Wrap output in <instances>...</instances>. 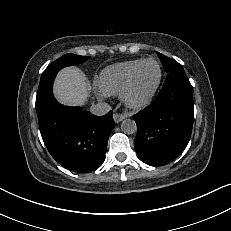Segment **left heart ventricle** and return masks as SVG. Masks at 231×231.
Instances as JSON below:
<instances>
[{
	"mask_svg": "<svg viewBox=\"0 0 231 231\" xmlns=\"http://www.w3.org/2000/svg\"><path fill=\"white\" fill-rule=\"evenodd\" d=\"M159 71L154 62H147L141 66L135 77L132 96L135 100L143 99L154 87Z\"/></svg>",
	"mask_w": 231,
	"mask_h": 231,
	"instance_id": "1",
	"label": "left heart ventricle"
}]
</instances>
